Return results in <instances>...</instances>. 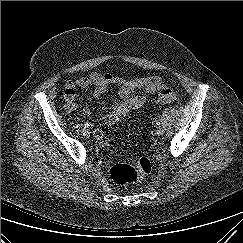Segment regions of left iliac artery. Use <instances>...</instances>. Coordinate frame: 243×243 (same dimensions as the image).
Returning <instances> with one entry per match:
<instances>
[{
  "mask_svg": "<svg viewBox=\"0 0 243 243\" xmlns=\"http://www.w3.org/2000/svg\"><path fill=\"white\" fill-rule=\"evenodd\" d=\"M156 125H160V122H159V121H157V122H156Z\"/></svg>",
  "mask_w": 243,
  "mask_h": 243,
  "instance_id": "left-iliac-artery-1",
  "label": "left iliac artery"
}]
</instances>
